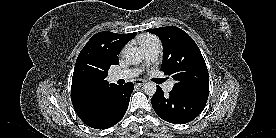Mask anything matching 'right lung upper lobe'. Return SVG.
<instances>
[{
    "instance_id": "cb5924a9",
    "label": "right lung upper lobe",
    "mask_w": 276,
    "mask_h": 138,
    "mask_svg": "<svg viewBox=\"0 0 276 138\" xmlns=\"http://www.w3.org/2000/svg\"><path fill=\"white\" fill-rule=\"evenodd\" d=\"M135 34L99 32L81 50L73 72L71 100L84 123L90 124L100 116V104L109 89L104 75L111 65L119 64L118 53Z\"/></svg>"
}]
</instances>
